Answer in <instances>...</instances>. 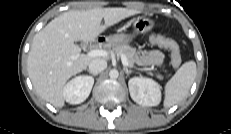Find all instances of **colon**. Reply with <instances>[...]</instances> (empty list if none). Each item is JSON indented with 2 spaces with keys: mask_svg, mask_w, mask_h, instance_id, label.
Wrapping results in <instances>:
<instances>
[{
  "mask_svg": "<svg viewBox=\"0 0 231 134\" xmlns=\"http://www.w3.org/2000/svg\"><path fill=\"white\" fill-rule=\"evenodd\" d=\"M149 43L153 46L168 49L171 53V64L174 68H178L181 65L180 48L175 40L161 35H152L149 37Z\"/></svg>",
  "mask_w": 231,
  "mask_h": 134,
  "instance_id": "obj_1",
  "label": "colon"
}]
</instances>
